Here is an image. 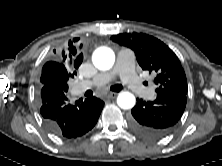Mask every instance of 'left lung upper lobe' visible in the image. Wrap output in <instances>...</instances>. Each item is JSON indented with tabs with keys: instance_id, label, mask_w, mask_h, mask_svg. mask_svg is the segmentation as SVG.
<instances>
[{
	"instance_id": "left-lung-upper-lobe-1",
	"label": "left lung upper lobe",
	"mask_w": 222,
	"mask_h": 166,
	"mask_svg": "<svg viewBox=\"0 0 222 166\" xmlns=\"http://www.w3.org/2000/svg\"><path fill=\"white\" fill-rule=\"evenodd\" d=\"M111 39L121 46L131 48L143 70L156 75V92L178 90L187 93V80L175 53L162 41L144 33H122Z\"/></svg>"
}]
</instances>
